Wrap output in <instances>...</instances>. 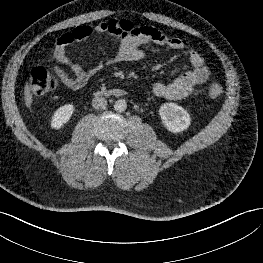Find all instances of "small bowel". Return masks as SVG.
<instances>
[{"label":"small bowel","instance_id":"small-bowel-1","mask_svg":"<svg viewBox=\"0 0 263 263\" xmlns=\"http://www.w3.org/2000/svg\"><path fill=\"white\" fill-rule=\"evenodd\" d=\"M98 34H108L119 39L118 52L111 62L139 61L145 55L143 47L146 45L167 47L187 53L192 69L171 82H156L153 85V93L156 96L172 100L183 99L189 96L197 85L203 84L209 78L210 71L202 55L179 37L165 35L149 26L136 27L128 20L112 19L93 26H78L56 39L51 60L68 66L73 72V76H70L61 66L53 67L67 88L72 90L83 88L89 79L103 68L104 65L99 63L93 68L85 69L71 58L66 50L69 45L85 41Z\"/></svg>","mask_w":263,"mask_h":263}]
</instances>
